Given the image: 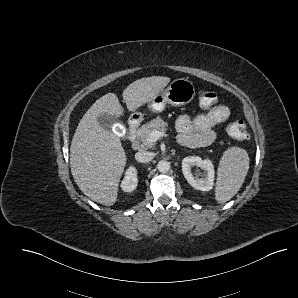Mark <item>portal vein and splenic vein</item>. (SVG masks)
<instances>
[{
    "label": "portal vein and splenic vein",
    "instance_id": "obj_1",
    "mask_svg": "<svg viewBox=\"0 0 298 298\" xmlns=\"http://www.w3.org/2000/svg\"><path fill=\"white\" fill-rule=\"evenodd\" d=\"M161 136H162V133H161L159 130H157V129H153V131L150 132L148 138H149V140H150L151 142H156V141H158V139H159Z\"/></svg>",
    "mask_w": 298,
    "mask_h": 298
}]
</instances>
